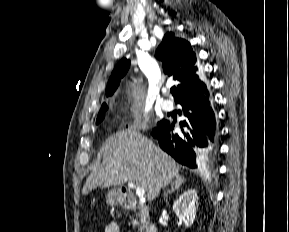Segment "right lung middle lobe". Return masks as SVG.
<instances>
[{
    "label": "right lung middle lobe",
    "instance_id": "1",
    "mask_svg": "<svg viewBox=\"0 0 289 232\" xmlns=\"http://www.w3.org/2000/svg\"><path fill=\"white\" fill-rule=\"evenodd\" d=\"M107 109H108V106L106 104L101 107L99 114H98V117H97V121H96L97 124L104 119V113Z\"/></svg>",
    "mask_w": 289,
    "mask_h": 232
}]
</instances>
